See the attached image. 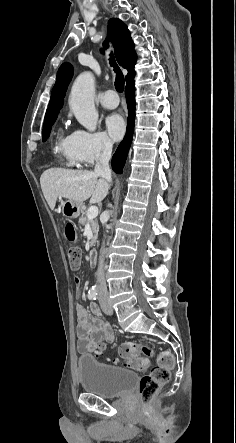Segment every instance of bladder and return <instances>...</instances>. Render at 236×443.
Returning <instances> with one entry per match:
<instances>
[{
    "instance_id": "bladder-1",
    "label": "bladder",
    "mask_w": 236,
    "mask_h": 443,
    "mask_svg": "<svg viewBox=\"0 0 236 443\" xmlns=\"http://www.w3.org/2000/svg\"><path fill=\"white\" fill-rule=\"evenodd\" d=\"M77 367L84 392L101 398L121 397L131 391L136 384L135 372L102 364L93 356L79 357Z\"/></svg>"
}]
</instances>
